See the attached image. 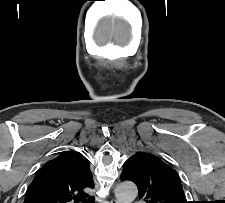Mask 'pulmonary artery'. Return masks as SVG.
Segmentation results:
<instances>
[{
	"instance_id": "1",
	"label": "pulmonary artery",
	"mask_w": 225,
	"mask_h": 203,
	"mask_svg": "<svg viewBox=\"0 0 225 203\" xmlns=\"http://www.w3.org/2000/svg\"><path fill=\"white\" fill-rule=\"evenodd\" d=\"M135 203H144L143 201H137V202H135Z\"/></svg>"
}]
</instances>
